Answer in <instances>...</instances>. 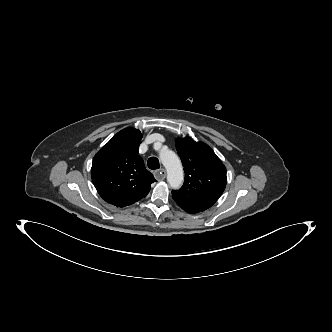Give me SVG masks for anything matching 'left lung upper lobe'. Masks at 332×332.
Instances as JSON below:
<instances>
[{
	"mask_svg": "<svg viewBox=\"0 0 332 332\" xmlns=\"http://www.w3.org/2000/svg\"><path fill=\"white\" fill-rule=\"evenodd\" d=\"M185 181L181 189L172 191L174 201L188 213L210 208L226 187V168L214 151L193 139H176Z\"/></svg>",
	"mask_w": 332,
	"mask_h": 332,
	"instance_id": "left-lung-upper-lobe-1",
	"label": "left lung upper lobe"
}]
</instances>
